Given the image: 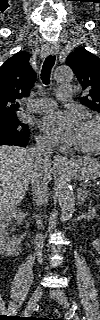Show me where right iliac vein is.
I'll return each instance as SVG.
<instances>
[{
	"instance_id": "right-iliac-vein-1",
	"label": "right iliac vein",
	"mask_w": 100,
	"mask_h": 320,
	"mask_svg": "<svg viewBox=\"0 0 100 320\" xmlns=\"http://www.w3.org/2000/svg\"><path fill=\"white\" fill-rule=\"evenodd\" d=\"M42 296V288L37 287L35 291L32 293L28 304H27V314H29L37 305L38 301L41 299Z\"/></svg>"
}]
</instances>
